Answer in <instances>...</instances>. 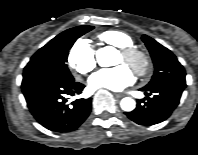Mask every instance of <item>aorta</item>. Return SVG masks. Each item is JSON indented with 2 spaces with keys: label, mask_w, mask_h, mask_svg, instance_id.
I'll use <instances>...</instances> for the list:
<instances>
[{
  "label": "aorta",
  "mask_w": 198,
  "mask_h": 155,
  "mask_svg": "<svg viewBox=\"0 0 198 155\" xmlns=\"http://www.w3.org/2000/svg\"><path fill=\"white\" fill-rule=\"evenodd\" d=\"M116 50L111 47H103L96 51V60L101 67H109L116 64ZM121 109L130 112L135 109L136 102L130 97H125L120 102Z\"/></svg>",
  "instance_id": "1"
}]
</instances>
